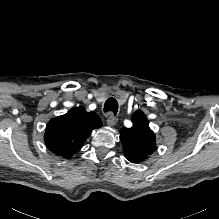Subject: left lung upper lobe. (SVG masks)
I'll return each mask as SVG.
<instances>
[{
  "label": "left lung upper lobe",
  "mask_w": 219,
  "mask_h": 219,
  "mask_svg": "<svg viewBox=\"0 0 219 219\" xmlns=\"http://www.w3.org/2000/svg\"><path fill=\"white\" fill-rule=\"evenodd\" d=\"M131 120L133 127L122 128L120 138L125 157L132 163H141L155 151L156 139L142 111H135Z\"/></svg>",
  "instance_id": "1"
}]
</instances>
